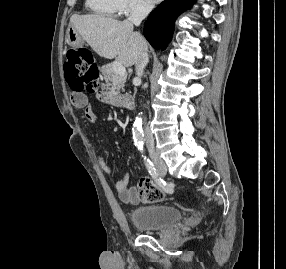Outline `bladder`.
<instances>
[{
	"label": "bladder",
	"instance_id": "1",
	"mask_svg": "<svg viewBox=\"0 0 286 269\" xmlns=\"http://www.w3.org/2000/svg\"><path fill=\"white\" fill-rule=\"evenodd\" d=\"M182 218L179 208L163 204H148L130 211L132 225L145 232H158L178 223Z\"/></svg>",
	"mask_w": 286,
	"mask_h": 269
}]
</instances>
